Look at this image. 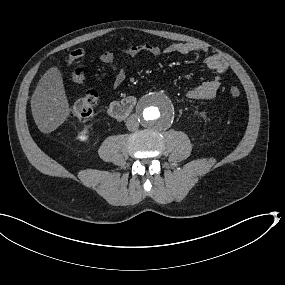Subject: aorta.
Here are the masks:
<instances>
[{"mask_svg": "<svg viewBox=\"0 0 285 285\" xmlns=\"http://www.w3.org/2000/svg\"><path fill=\"white\" fill-rule=\"evenodd\" d=\"M137 117L140 123L150 130H163L169 127L176 117V104L173 98L163 91H150L144 94L137 104Z\"/></svg>", "mask_w": 285, "mask_h": 285, "instance_id": "obj_1", "label": "aorta"}]
</instances>
